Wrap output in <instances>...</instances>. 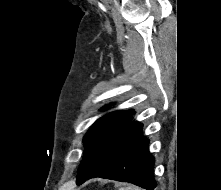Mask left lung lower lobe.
Instances as JSON below:
<instances>
[{"label":"left lung lower lobe","mask_w":221,"mask_h":190,"mask_svg":"<svg viewBox=\"0 0 221 190\" xmlns=\"http://www.w3.org/2000/svg\"><path fill=\"white\" fill-rule=\"evenodd\" d=\"M143 125L129 124L113 139L91 171L77 180L80 185L95 177L130 182L147 190H154V157L149 152V141L142 134Z\"/></svg>","instance_id":"1"}]
</instances>
